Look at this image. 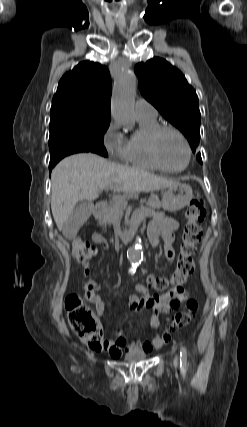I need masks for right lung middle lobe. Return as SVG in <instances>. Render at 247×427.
<instances>
[{"instance_id":"obj_1","label":"right lung middle lobe","mask_w":247,"mask_h":427,"mask_svg":"<svg viewBox=\"0 0 247 427\" xmlns=\"http://www.w3.org/2000/svg\"><path fill=\"white\" fill-rule=\"evenodd\" d=\"M109 124V117L91 113L65 110L50 114V153L61 148L78 147L107 157L103 137Z\"/></svg>"}]
</instances>
